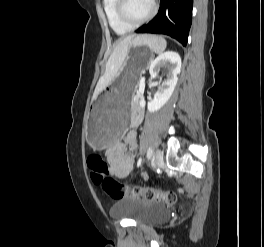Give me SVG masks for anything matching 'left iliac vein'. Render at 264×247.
Instances as JSON below:
<instances>
[{
    "mask_svg": "<svg viewBox=\"0 0 264 247\" xmlns=\"http://www.w3.org/2000/svg\"><path fill=\"white\" fill-rule=\"evenodd\" d=\"M154 162L156 167H161L163 165V153L159 149L155 153Z\"/></svg>",
    "mask_w": 264,
    "mask_h": 247,
    "instance_id": "4c4485c4",
    "label": "left iliac vein"
}]
</instances>
